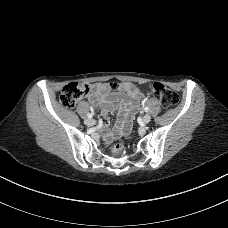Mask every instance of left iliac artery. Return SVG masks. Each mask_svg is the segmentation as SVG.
Listing matches in <instances>:
<instances>
[{
    "label": "left iliac artery",
    "mask_w": 228,
    "mask_h": 228,
    "mask_svg": "<svg viewBox=\"0 0 228 228\" xmlns=\"http://www.w3.org/2000/svg\"><path fill=\"white\" fill-rule=\"evenodd\" d=\"M148 110H149L148 107H145V108H144V111H145V112H148Z\"/></svg>",
    "instance_id": "obj_1"
}]
</instances>
